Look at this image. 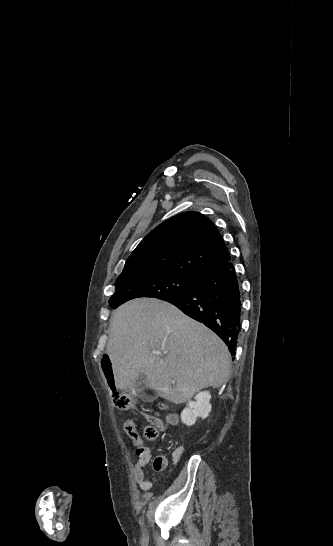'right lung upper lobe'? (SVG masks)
<instances>
[{"label": "right lung upper lobe", "mask_w": 333, "mask_h": 546, "mask_svg": "<svg viewBox=\"0 0 333 546\" xmlns=\"http://www.w3.org/2000/svg\"><path fill=\"white\" fill-rule=\"evenodd\" d=\"M230 259L212 221L188 211L152 230L127 259L122 273L173 272L200 279Z\"/></svg>", "instance_id": "1"}]
</instances>
